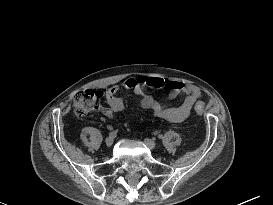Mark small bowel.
Instances as JSON below:
<instances>
[{"label": "small bowel", "mask_w": 273, "mask_h": 205, "mask_svg": "<svg viewBox=\"0 0 273 205\" xmlns=\"http://www.w3.org/2000/svg\"><path fill=\"white\" fill-rule=\"evenodd\" d=\"M160 87L169 89L168 100L184 95L183 102L178 106L166 105L145 92L146 88L157 89ZM121 88L134 91L139 96L140 106L144 110L150 111L153 117L171 122H182L188 118L195 103L203 96L199 87L181 81H163L159 78L150 77L145 82H141L136 78H128L121 86H115L106 91L108 107L102 108L101 113L108 119H115L116 115L124 110L123 101L117 96Z\"/></svg>", "instance_id": "c3829d8e"}]
</instances>
